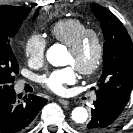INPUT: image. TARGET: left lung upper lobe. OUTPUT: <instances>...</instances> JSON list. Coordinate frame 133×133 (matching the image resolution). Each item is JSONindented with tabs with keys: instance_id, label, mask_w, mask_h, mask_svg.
I'll use <instances>...</instances> for the list:
<instances>
[{
	"instance_id": "obj_1",
	"label": "left lung upper lobe",
	"mask_w": 133,
	"mask_h": 133,
	"mask_svg": "<svg viewBox=\"0 0 133 133\" xmlns=\"http://www.w3.org/2000/svg\"><path fill=\"white\" fill-rule=\"evenodd\" d=\"M92 12L104 34L103 72L96 93L127 104L133 87V46L121 21L108 9L93 3Z\"/></svg>"
}]
</instances>
